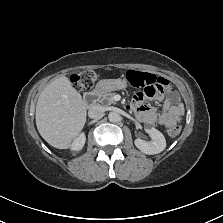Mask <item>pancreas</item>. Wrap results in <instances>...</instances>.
Returning a JSON list of instances; mask_svg holds the SVG:
<instances>
[{
	"label": "pancreas",
	"instance_id": "1",
	"mask_svg": "<svg viewBox=\"0 0 223 223\" xmlns=\"http://www.w3.org/2000/svg\"><path fill=\"white\" fill-rule=\"evenodd\" d=\"M114 95L115 93H111L110 95L103 97L102 100H106L108 105L116 104V102L114 101Z\"/></svg>",
	"mask_w": 223,
	"mask_h": 223
}]
</instances>
